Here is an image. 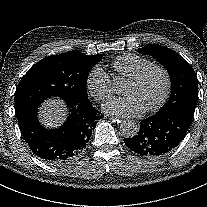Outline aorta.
Segmentation results:
<instances>
[{
	"instance_id": "obj_1",
	"label": "aorta",
	"mask_w": 207,
	"mask_h": 207,
	"mask_svg": "<svg viewBox=\"0 0 207 207\" xmlns=\"http://www.w3.org/2000/svg\"><path fill=\"white\" fill-rule=\"evenodd\" d=\"M113 87L116 91H120L122 89V82L120 79H115ZM120 131L126 138L135 137L139 132V126L136 122L132 120H127L121 123Z\"/></svg>"
}]
</instances>
